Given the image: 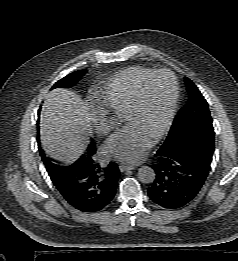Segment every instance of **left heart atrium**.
I'll return each mask as SVG.
<instances>
[{
  "instance_id": "obj_1",
  "label": "left heart atrium",
  "mask_w": 238,
  "mask_h": 261,
  "mask_svg": "<svg viewBox=\"0 0 238 261\" xmlns=\"http://www.w3.org/2000/svg\"><path fill=\"white\" fill-rule=\"evenodd\" d=\"M153 143V136L135 125H128L114 134L106 144V152L120 161L140 162Z\"/></svg>"
}]
</instances>
